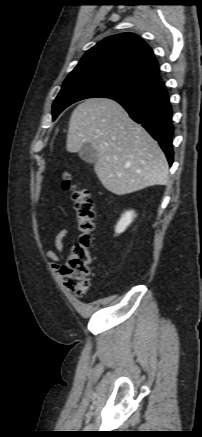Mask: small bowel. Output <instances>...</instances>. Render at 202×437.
<instances>
[{
  "label": "small bowel",
  "mask_w": 202,
  "mask_h": 437,
  "mask_svg": "<svg viewBox=\"0 0 202 437\" xmlns=\"http://www.w3.org/2000/svg\"><path fill=\"white\" fill-rule=\"evenodd\" d=\"M69 230L67 228H63L59 230L54 239V247L55 250H47L46 257L50 261V267L53 271L59 272L60 270V262L62 260V252L64 250V239L68 235Z\"/></svg>",
  "instance_id": "c3829d8e"
}]
</instances>
